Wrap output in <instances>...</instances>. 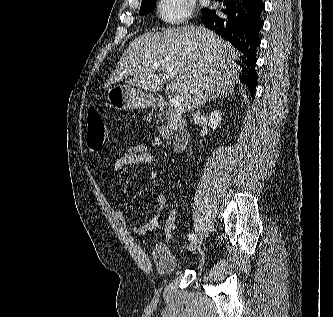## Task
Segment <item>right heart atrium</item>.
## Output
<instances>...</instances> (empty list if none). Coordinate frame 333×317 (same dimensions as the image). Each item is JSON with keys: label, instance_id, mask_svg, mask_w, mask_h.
Instances as JSON below:
<instances>
[{"label": "right heart atrium", "instance_id": "d8ad5b80", "mask_svg": "<svg viewBox=\"0 0 333 317\" xmlns=\"http://www.w3.org/2000/svg\"><path fill=\"white\" fill-rule=\"evenodd\" d=\"M194 12V0H157V17L165 24L179 26L188 21Z\"/></svg>", "mask_w": 333, "mask_h": 317}]
</instances>
